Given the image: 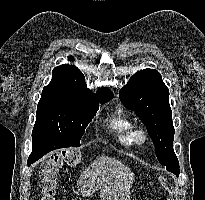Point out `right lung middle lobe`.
Returning a JSON list of instances; mask_svg holds the SVG:
<instances>
[{"instance_id": "right-lung-middle-lobe-1", "label": "right lung middle lobe", "mask_w": 205, "mask_h": 200, "mask_svg": "<svg viewBox=\"0 0 205 200\" xmlns=\"http://www.w3.org/2000/svg\"><path fill=\"white\" fill-rule=\"evenodd\" d=\"M108 99L95 100L74 88L49 84L43 88L33 130L49 131L69 146L78 147L98 104Z\"/></svg>"}]
</instances>
